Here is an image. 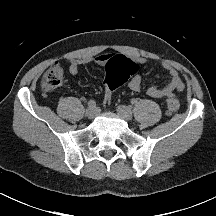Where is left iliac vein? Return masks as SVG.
<instances>
[{"label":"left iliac vein","mask_w":216,"mask_h":216,"mask_svg":"<svg viewBox=\"0 0 216 216\" xmlns=\"http://www.w3.org/2000/svg\"><path fill=\"white\" fill-rule=\"evenodd\" d=\"M117 112H118L119 116L126 121H129L132 119L131 109L125 105H119L117 107Z\"/></svg>","instance_id":"1"}]
</instances>
